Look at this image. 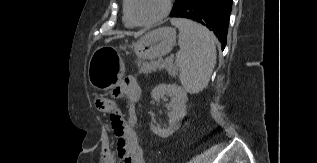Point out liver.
<instances>
[{"instance_id": "obj_1", "label": "liver", "mask_w": 317, "mask_h": 163, "mask_svg": "<svg viewBox=\"0 0 317 163\" xmlns=\"http://www.w3.org/2000/svg\"><path fill=\"white\" fill-rule=\"evenodd\" d=\"M115 38H121V36H115L113 38H108V39L105 40V42L108 43V42L112 41Z\"/></svg>"}]
</instances>
